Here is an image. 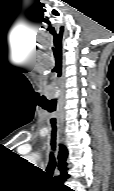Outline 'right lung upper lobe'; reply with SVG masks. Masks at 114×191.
Listing matches in <instances>:
<instances>
[{
	"mask_svg": "<svg viewBox=\"0 0 114 191\" xmlns=\"http://www.w3.org/2000/svg\"><path fill=\"white\" fill-rule=\"evenodd\" d=\"M68 156V152L67 149L60 145V151H59V155H58V168L61 171V175L57 176V178H62L64 175L67 174V168H66V158Z\"/></svg>",
	"mask_w": 114,
	"mask_h": 191,
	"instance_id": "1",
	"label": "right lung upper lobe"
}]
</instances>
